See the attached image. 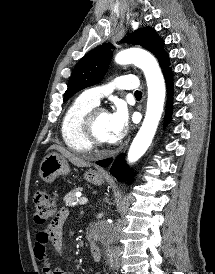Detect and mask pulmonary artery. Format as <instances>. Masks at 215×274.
<instances>
[{
    "instance_id": "1",
    "label": "pulmonary artery",
    "mask_w": 215,
    "mask_h": 274,
    "mask_svg": "<svg viewBox=\"0 0 215 274\" xmlns=\"http://www.w3.org/2000/svg\"><path fill=\"white\" fill-rule=\"evenodd\" d=\"M138 81L135 76L122 75L116 77L110 84L97 86L86 90L83 94L95 104L100 102V99L112 92L113 89L136 90Z\"/></svg>"
}]
</instances>
